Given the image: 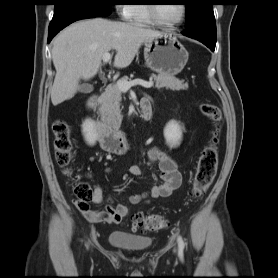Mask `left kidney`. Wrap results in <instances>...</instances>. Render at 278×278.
Masks as SVG:
<instances>
[{
  "instance_id": "left-kidney-1",
  "label": "left kidney",
  "mask_w": 278,
  "mask_h": 278,
  "mask_svg": "<svg viewBox=\"0 0 278 278\" xmlns=\"http://www.w3.org/2000/svg\"><path fill=\"white\" fill-rule=\"evenodd\" d=\"M182 126L172 120L168 122L164 128V137L170 147H176L182 139Z\"/></svg>"
}]
</instances>
